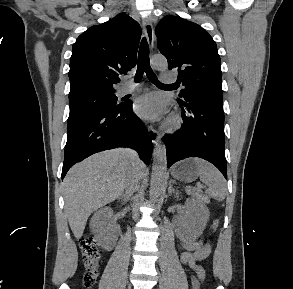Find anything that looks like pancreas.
<instances>
[{
  "label": "pancreas",
  "mask_w": 293,
  "mask_h": 289,
  "mask_svg": "<svg viewBox=\"0 0 293 289\" xmlns=\"http://www.w3.org/2000/svg\"><path fill=\"white\" fill-rule=\"evenodd\" d=\"M187 194L200 202H208V198L205 195H203L201 189L199 188L187 190Z\"/></svg>",
  "instance_id": "1"
}]
</instances>
